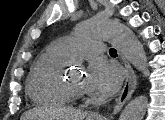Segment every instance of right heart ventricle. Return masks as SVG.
<instances>
[{
	"label": "right heart ventricle",
	"instance_id": "1",
	"mask_svg": "<svg viewBox=\"0 0 165 120\" xmlns=\"http://www.w3.org/2000/svg\"><path fill=\"white\" fill-rule=\"evenodd\" d=\"M67 60L68 57L53 45L40 55L27 85L28 93L35 102L66 104L71 101L62 73Z\"/></svg>",
	"mask_w": 165,
	"mask_h": 120
}]
</instances>
